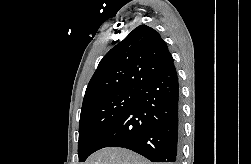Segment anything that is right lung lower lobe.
<instances>
[{
	"label": "right lung lower lobe",
	"instance_id": "1",
	"mask_svg": "<svg viewBox=\"0 0 251 164\" xmlns=\"http://www.w3.org/2000/svg\"><path fill=\"white\" fill-rule=\"evenodd\" d=\"M138 97L96 144L124 147L152 162H176L182 135L179 84L175 66L146 81Z\"/></svg>",
	"mask_w": 251,
	"mask_h": 164
}]
</instances>
